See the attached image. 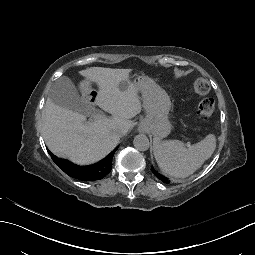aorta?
Instances as JSON below:
<instances>
[{
  "instance_id": "obj_1",
  "label": "aorta",
  "mask_w": 255,
  "mask_h": 255,
  "mask_svg": "<svg viewBox=\"0 0 255 255\" xmlns=\"http://www.w3.org/2000/svg\"><path fill=\"white\" fill-rule=\"evenodd\" d=\"M134 147L139 151H146L149 149V139L144 134L136 135L133 140Z\"/></svg>"
}]
</instances>
